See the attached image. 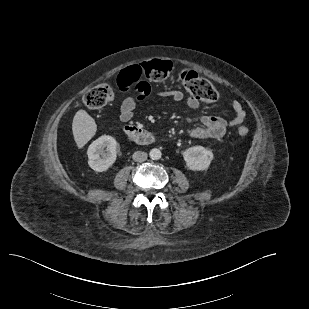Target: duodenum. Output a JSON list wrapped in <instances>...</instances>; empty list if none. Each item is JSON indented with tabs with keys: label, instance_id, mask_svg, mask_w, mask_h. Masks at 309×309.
<instances>
[{
	"label": "duodenum",
	"instance_id": "410a0bca",
	"mask_svg": "<svg viewBox=\"0 0 309 309\" xmlns=\"http://www.w3.org/2000/svg\"><path fill=\"white\" fill-rule=\"evenodd\" d=\"M125 132L131 140L139 144L145 145L153 142V136L142 128L127 126Z\"/></svg>",
	"mask_w": 309,
	"mask_h": 309
}]
</instances>
